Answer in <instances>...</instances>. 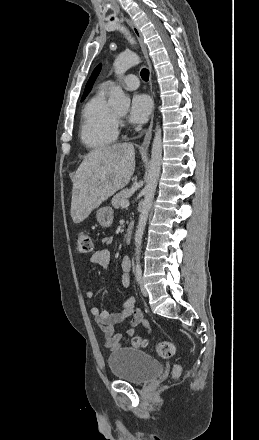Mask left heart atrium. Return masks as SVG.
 Wrapping results in <instances>:
<instances>
[{
	"label": "left heart atrium",
	"mask_w": 259,
	"mask_h": 440,
	"mask_svg": "<svg viewBox=\"0 0 259 440\" xmlns=\"http://www.w3.org/2000/svg\"><path fill=\"white\" fill-rule=\"evenodd\" d=\"M152 107L153 104L148 95H133L129 110V120L135 124L145 123L152 111Z\"/></svg>",
	"instance_id": "left-heart-atrium-1"
}]
</instances>
